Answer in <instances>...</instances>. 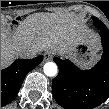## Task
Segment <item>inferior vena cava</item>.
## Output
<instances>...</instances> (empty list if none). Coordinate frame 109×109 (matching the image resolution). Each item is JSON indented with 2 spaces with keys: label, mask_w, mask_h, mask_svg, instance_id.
<instances>
[{
  "label": "inferior vena cava",
  "mask_w": 109,
  "mask_h": 109,
  "mask_svg": "<svg viewBox=\"0 0 109 109\" xmlns=\"http://www.w3.org/2000/svg\"><path fill=\"white\" fill-rule=\"evenodd\" d=\"M37 51L32 48H18L17 55L22 59H32L36 56Z\"/></svg>",
  "instance_id": "602c4592"
}]
</instances>
